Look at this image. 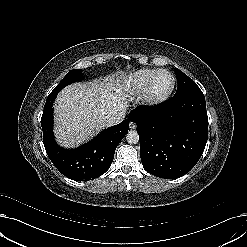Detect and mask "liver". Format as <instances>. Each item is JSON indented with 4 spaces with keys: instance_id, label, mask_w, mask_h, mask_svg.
<instances>
[{
    "instance_id": "6515ba94",
    "label": "liver",
    "mask_w": 247,
    "mask_h": 247,
    "mask_svg": "<svg viewBox=\"0 0 247 247\" xmlns=\"http://www.w3.org/2000/svg\"><path fill=\"white\" fill-rule=\"evenodd\" d=\"M130 99L128 86L110 76L67 86L54 105L57 142L67 148L83 143L106 126L109 114L125 111Z\"/></svg>"
}]
</instances>
